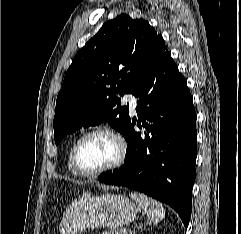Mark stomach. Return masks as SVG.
Wrapping results in <instances>:
<instances>
[{"label": "stomach", "mask_w": 241, "mask_h": 234, "mask_svg": "<svg viewBox=\"0 0 241 234\" xmlns=\"http://www.w3.org/2000/svg\"><path fill=\"white\" fill-rule=\"evenodd\" d=\"M137 212L135 203L123 195H85L75 199L67 209L61 234H80L99 226L118 229L131 223Z\"/></svg>", "instance_id": "stomach-1"}]
</instances>
